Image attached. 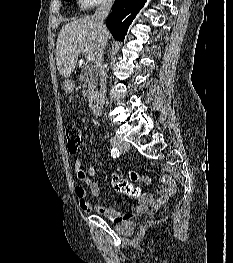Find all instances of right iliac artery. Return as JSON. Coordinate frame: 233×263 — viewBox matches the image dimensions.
Segmentation results:
<instances>
[{"label": "right iliac artery", "instance_id": "1", "mask_svg": "<svg viewBox=\"0 0 233 263\" xmlns=\"http://www.w3.org/2000/svg\"><path fill=\"white\" fill-rule=\"evenodd\" d=\"M110 153L113 158H117L120 155V151L117 148H112Z\"/></svg>", "mask_w": 233, "mask_h": 263}]
</instances>
